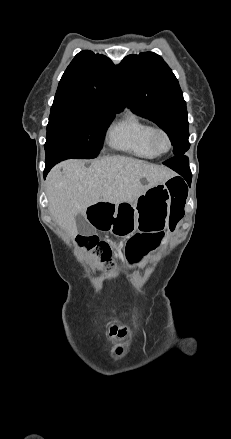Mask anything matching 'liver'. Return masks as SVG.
I'll use <instances>...</instances> for the list:
<instances>
[{
	"label": "liver",
	"instance_id": "1",
	"mask_svg": "<svg viewBox=\"0 0 231 439\" xmlns=\"http://www.w3.org/2000/svg\"><path fill=\"white\" fill-rule=\"evenodd\" d=\"M174 176L165 166L122 156L93 161L89 167L83 160H67L56 165L47 177L49 212L75 237L76 216L85 215L90 205L132 203L148 189ZM142 178L147 180V185L140 182Z\"/></svg>",
	"mask_w": 231,
	"mask_h": 439
}]
</instances>
